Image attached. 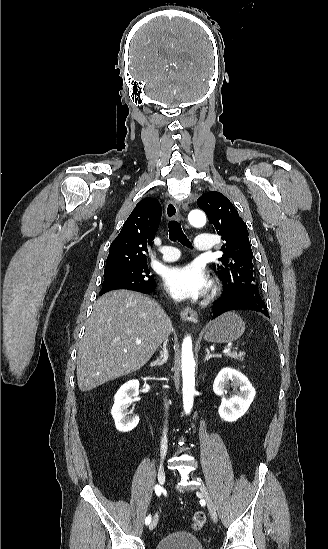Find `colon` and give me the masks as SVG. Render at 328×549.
<instances>
[{"label":"colon","instance_id":"obj_1","mask_svg":"<svg viewBox=\"0 0 328 549\" xmlns=\"http://www.w3.org/2000/svg\"><path fill=\"white\" fill-rule=\"evenodd\" d=\"M205 523H206V515L203 512L197 511L193 514V516H192V527L195 530L201 529L204 526Z\"/></svg>","mask_w":328,"mask_h":549}]
</instances>
